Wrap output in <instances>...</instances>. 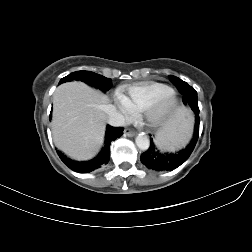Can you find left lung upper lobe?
I'll list each match as a JSON object with an SVG mask.
<instances>
[{
	"mask_svg": "<svg viewBox=\"0 0 252 252\" xmlns=\"http://www.w3.org/2000/svg\"><path fill=\"white\" fill-rule=\"evenodd\" d=\"M170 80L175 86H176L177 83L185 82V81H182L181 79H179L178 77H175V76H170Z\"/></svg>",
	"mask_w": 252,
	"mask_h": 252,
	"instance_id": "1",
	"label": "left lung upper lobe"
}]
</instances>
